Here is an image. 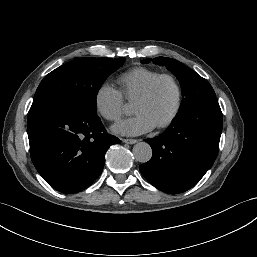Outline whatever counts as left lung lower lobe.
Here are the masks:
<instances>
[{
    "instance_id": "left-lung-lower-lobe-1",
    "label": "left lung lower lobe",
    "mask_w": 257,
    "mask_h": 257,
    "mask_svg": "<svg viewBox=\"0 0 257 257\" xmlns=\"http://www.w3.org/2000/svg\"><path fill=\"white\" fill-rule=\"evenodd\" d=\"M222 132L218 101L207 103L180 118L159 136L145 139L152 158L139 166L159 190L176 194L193 187L214 163Z\"/></svg>"
}]
</instances>
